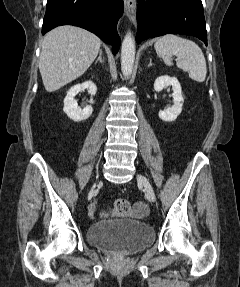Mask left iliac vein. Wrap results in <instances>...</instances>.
Segmentation results:
<instances>
[{
  "label": "left iliac vein",
  "mask_w": 240,
  "mask_h": 287,
  "mask_svg": "<svg viewBox=\"0 0 240 287\" xmlns=\"http://www.w3.org/2000/svg\"><path fill=\"white\" fill-rule=\"evenodd\" d=\"M137 179L143 185L144 190H145L146 194L148 195V197L153 202L156 201L155 192H154L151 184L149 183L148 179L143 175H138Z\"/></svg>",
  "instance_id": "4c4485c4"
}]
</instances>
